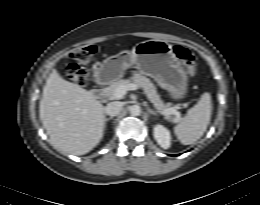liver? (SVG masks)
Returning <instances> with one entry per match:
<instances>
[{
	"label": "liver",
	"mask_w": 260,
	"mask_h": 205,
	"mask_svg": "<svg viewBox=\"0 0 260 205\" xmlns=\"http://www.w3.org/2000/svg\"><path fill=\"white\" fill-rule=\"evenodd\" d=\"M105 108L91 91L63 79L54 69L43 87L39 114L54 146L83 155L103 137Z\"/></svg>",
	"instance_id": "liver-1"
}]
</instances>
